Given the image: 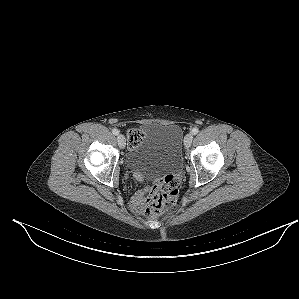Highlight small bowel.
<instances>
[{
	"label": "small bowel",
	"mask_w": 299,
	"mask_h": 299,
	"mask_svg": "<svg viewBox=\"0 0 299 299\" xmlns=\"http://www.w3.org/2000/svg\"><path fill=\"white\" fill-rule=\"evenodd\" d=\"M152 189H143L138 191L132 199V206L136 210H143L149 203Z\"/></svg>",
	"instance_id": "c3829d8e"
}]
</instances>
